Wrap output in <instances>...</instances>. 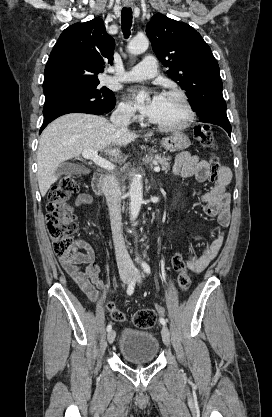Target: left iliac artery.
<instances>
[{
    "instance_id": "obj_1",
    "label": "left iliac artery",
    "mask_w": 272,
    "mask_h": 417,
    "mask_svg": "<svg viewBox=\"0 0 272 417\" xmlns=\"http://www.w3.org/2000/svg\"><path fill=\"white\" fill-rule=\"evenodd\" d=\"M142 268H143V270L147 273V274H150V272H151V270H150V267H149V265L146 263V262H142ZM160 323L162 324V325H166V320L164 319V318H160Z\"/></svg>"
}]
</instances>
